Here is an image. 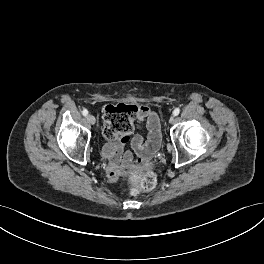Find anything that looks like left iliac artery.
Instances as JSON below:
<instances>
[{
	"label": "left iliac artery",
	"instance_id": "44dca946",
	"mask_svg": "<svg viewBox=\"0 0 264 264\" xmlns=\"http://www.w3.org/2000/svg\"><path fill=\"white\" fill-rule=\"evenodd\" d=\"M180 113V109L179 108H175L173 111V115L177 116Z\"/></svg>",
	"mask_w": 264,
	"mask_h": 264
}]
</instances>
